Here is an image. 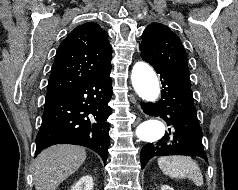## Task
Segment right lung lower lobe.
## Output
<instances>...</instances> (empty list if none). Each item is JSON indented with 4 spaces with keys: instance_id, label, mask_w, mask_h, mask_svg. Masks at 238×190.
<instances>
[{
    "instance_id": "98d812e1",
    "label": "right lung lower lobe",
    "mask_w": 238,
    "mask_h": 190,
    "mask_svg": "<svg viewBox=\"0 0 238 190\" xmlns=\"http://www.w3.org/2000/svg\"><path fill=\"white\" fill-rule=\"evenodd\" d=\"M111 68L45 101L35 156L53 144L88 147L107 160L112 96Z\"/></svg>"
}]
</instances>
